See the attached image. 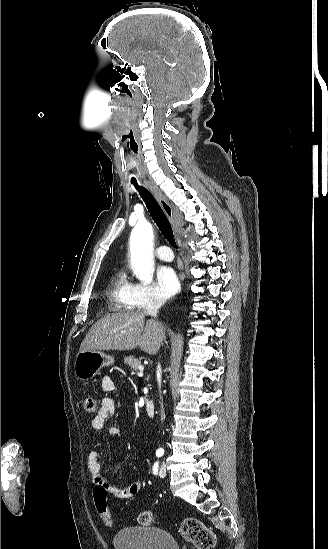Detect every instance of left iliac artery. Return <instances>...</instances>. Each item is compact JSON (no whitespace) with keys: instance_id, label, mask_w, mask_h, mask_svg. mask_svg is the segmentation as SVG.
Returning a JSON list of instances; mask_svg holds the SVG:
<instances>
[{"instance_id":"44dca946","label":"left iliac artery","mask_w":328,"mask_h":549,"mask_svg":"<svg viewBox=\"0 0 328 549\" xmlns=\"http://www.w3.org/2000/svg\"><path fill=\"white\" fill-rule=\"evenodd\" d=\"M158 466H159V463H158V462L154 463V466H153V473H154V474H157V472H158Z\"/></svg>"}]
</instances>
